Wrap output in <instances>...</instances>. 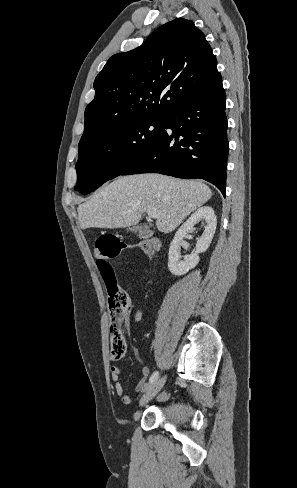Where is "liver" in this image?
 Segmentation results:
<instances>
[{
  "mask_svg": "<svg viewBox=\"0 0 297 488\" xmlns=\"http://www.w3.org/2000/svg\"><path fill=\"white\" fill-rule=\"evenodd\" d=\"M212 196L200 181L160 174L121 176L102 187L77 208L80 228H123L138 224L144 212L156 209V226L172 232Z\"/></svg>",
  "mask_w": 297,
  "mask_h": 488,
  "instance_id": "1",
  "label": "liver"
}]
</instances>
